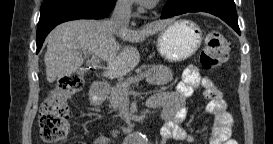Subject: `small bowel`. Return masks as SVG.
<instances>
[{"label":"small bowel","mask_w":273,"mask_h":144,"mask_svg":"<svg viewBox=\"0 0 273 144\" xmlns=\"http://www.w3.org/2000/svg\"><path fill=\"white\" fill-rule=\"evenodd\" d=\"M197 89L202 90L207 100L206 110L214 117L212 135L209 144H234L231 139L232 117L226 109V102L221 89L208 77L202 76L194 67L187 68L174 92L164 93L168 104L162 110L165 125L161 129V143L168 140L196 142L192 134L186 132L182 122L187 117L186 102ZM152 110H157L148 105ZM94 144H110L112 140L105 135L98 136Z\"/></svg>","instance_id":"obj_1"}]
</instances>
